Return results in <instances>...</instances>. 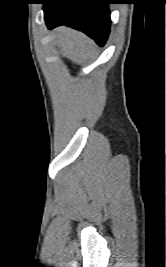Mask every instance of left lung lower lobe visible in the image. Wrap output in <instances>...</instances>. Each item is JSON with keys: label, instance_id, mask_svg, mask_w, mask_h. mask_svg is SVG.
Masks as SVG:
<instances>
[{"label": "left lung lower lobe", "instance_id": "1", "mask_svg": "<svg viewBox=\"0 0 166 267\" xmlns=\"http://www.w3.org/2000/svg\"><path fill=\"white\" fill-rule=\"evenodd\" d=\"M48 29L67 25L103 46L110 31L108 4L111 0H42Z\"/></svg>", "mask_w": 166, "mask_h": 267}]
</instances>
